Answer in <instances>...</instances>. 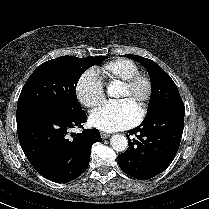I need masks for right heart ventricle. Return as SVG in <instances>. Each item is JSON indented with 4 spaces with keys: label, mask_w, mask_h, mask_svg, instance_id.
Listing matches in <instances>:
<instances>
[{
    "label": "right heart ventricle",
    "mask_w": 209,
    "mask_h": 209,
    "mask_svg": "<svg viewBox=\"0 0 209 209\" xmlns=\"http://www.w3.org/2000/svg\"><path fill=\"white\" fill-rule=\"evenodd\" d=\"M138 72L137 64L126 58H117L96 69V74L107 85H118Z\"/></svg>",
    "instance_id": "obj_1"
}]
</instances>
